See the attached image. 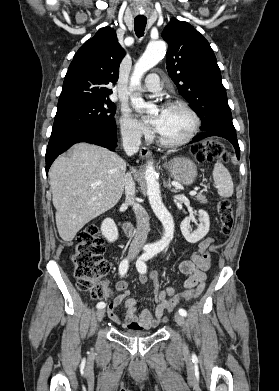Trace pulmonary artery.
I'll return each mask as SVG.
<instances>
[{
  "mask_svg": "<svg viewBox=\"0 0 279 391\" xmlns=\"http://www.w3.org/2000/svg\"><path fill=\"white\" fill-rule=\"evenodd\" d=\"M162 89L160 83V77L158 74L153 73L146 77L145 83L142 87V91L156 93Z\"/></svg>",
  "mask_w": 279,
  "mask_h": 391,
  "instance_id": "pulmonary-artery-1",
  "label": "pulmonary artery"
}]
</instances>
